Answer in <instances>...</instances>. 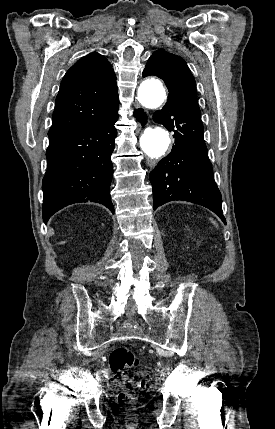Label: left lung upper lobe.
Instances as JSON below:
<instances>
[{"label":"left lung upper lobe","instance_id":"obj_1","mask_svg":"<svg viewBox=\"0 0 275 429\" xmlns=\"http://www.w3.org/2000/svg\"><path fill=\"white\" fill-rule=\"evenodd\" d=\"M161 78L169 91L168 101H183L198 106L195 79L186 62L164 49L155 51L148 59L142 76Z\"/></svg>","mask_w":275,"mask_h":429}]
</instances>
